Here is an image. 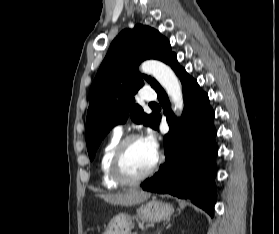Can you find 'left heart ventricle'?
<instances>
[{"label":"left heart ventricle","instance_id":"left-heart-ventricle-1","mask_svg":"<svg viewBox=\"0 0 279 234\" xmlns=\"http://www.w3.org/2000/svg\"><path fill=\"white\" fill-rule=\"evenodd\" d=\"M156 155L143 139L133 141L124 155L123 168L129 176L141 175L153 164Z\"/></svg>","mask_w":279,"mask_h":234}]
</instances>
